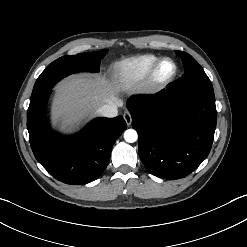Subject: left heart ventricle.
<instances>
[{"label": "left heart ventricle", "mask_w": 247, "mask_h": 247, "mask_svg": "<svg viewBox=\"0 0 247 247\" xmlns=\"http://www.w3.org/2000/svg\"><path fill=\"white\" fill-rule=\"evenodd\" d=\"M174 70H175L174 64L170 61H165L159 67L157 78L162 81L166 80L174 73Z\"/></svg>", "instance_id": "b2bd125f"}]
</instances>
